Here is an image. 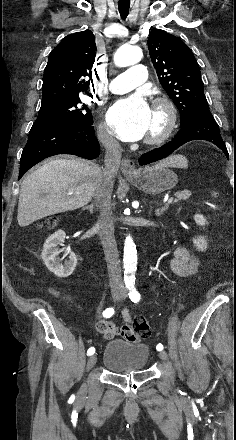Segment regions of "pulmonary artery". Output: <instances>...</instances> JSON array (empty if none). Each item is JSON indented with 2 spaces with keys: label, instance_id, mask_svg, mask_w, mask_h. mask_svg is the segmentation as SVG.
Returning <instances> with one entry per match:
<instances>
[{
  "label": "pulmonary artery",
  "instance_id": "e3ab8cb5",
  "mask_svg": "<svg viewBox=\"0 0 236 440\" xmlns=\"http://www.w3.org/2000/svg\"><path fill=\"white\" fill-rule=\"evenodd\" d=\"M147 70L144 65L136 64L116 76L109 89L114 94H125L141 86L146 80Z\"/></svg>",
  "mask_w": 236,
  "mask_h": 440
}]
</instances>
